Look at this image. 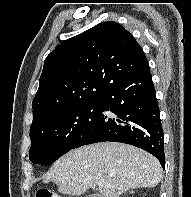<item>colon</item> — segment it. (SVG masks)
Wrapping results in <instances>:
<instances>
[{"label": "colon", "instance_id": "5ec220e1", "mask_svg": "<svg viewBox=\"0 0 191 197\" xmlns=\"http://www.w3.org/2000/svg\"><path fill=\"white\" fill-rule=\"evenodd\" d=\"M36 197H63V196L47 189H41L36 193Z\"/></svg>", "mask_w": 191, "mask_h": 197}]
</instances>
